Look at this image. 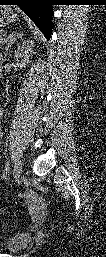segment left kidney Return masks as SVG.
Masks as SVG:
<instances>
[{"label": "left kidney", "instance_id": "1", "mask_svg": "<svg viewBox=\"0 0 106 257\" xmlns=\"http://www.w3.org/2000/svg\"><path fill=\"white\" fill-rule=\"evenodd\" d=\"M29 52H32L29 41H24L22 44L18 45L14 55L18 67L23 68L26 66V63H29Z\"/></svg>", "mask_w": 106, "mask_h": 257}]
</instances>
